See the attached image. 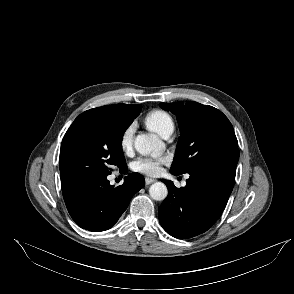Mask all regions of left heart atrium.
Instances as JSON below:
<instances>
[{"label":"left heart atrium","mask_w":294,"mask_h":294,"mask_svg":"<svg viewBox=\"0 0 294 294\" xmlns=\"http://www.w3.org/2000/svg\"><path fill=\"white\" fill-rule=\"evenodd\" d=\"M166 162L161 156H142L134 160L131 164L133 171L148 176H156L161 172V165Z\"/></svg>","instance_id":"39dd6f15"}]
</instances>
